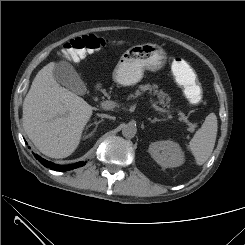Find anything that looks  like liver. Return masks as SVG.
<instances>
[{
  "mask_svg": "<svg viewBox=\"0 0 245 245\" xmlns=\"http://www.w3.org/2000/svg\"><path fill=\"white\" fill-rule=\"evenodd\" d=\"M54 67L50 62L35 76L23 102V127L40 152L65 158L78 147L93 107L57 83Z\"/></svg>",
  "mask_w": 245,
  "mask_h": 245,
  "instance_id": "liver-1",
  "label": "liver"
}]
</instances>
